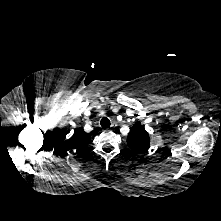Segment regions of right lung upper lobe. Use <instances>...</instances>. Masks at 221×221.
Returning <instances> with one entry per match:
<instances>
[{"label":"right lung upper lobe","instance_id":"cb5924a9","mask_svg":"<svg viewBox=\"0 0 221 221\" xmlns=\"http://www.w3.org/2000/svg\"><path fill=\"white\" fill-rule=\"evenodd\" d=\"M90 139V135L83 133L80 129H77L71 138L72 148L76 149L78 153L83 152L87 147Z\"/></svg>","mask_w":221,"mask_h":221}]
</instances>
